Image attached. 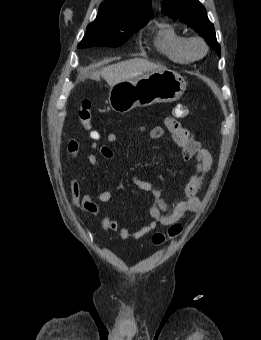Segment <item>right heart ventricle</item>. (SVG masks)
I'll list each match as a JSON object with an SVG mask.
<instances>
[{
  "label": "right heart ventricle",
  "mask_w": 261,
  "mask_h": 340,
  "mask_svg": "<svg viewBox=\"0 0 261 340\" xmlns=\"http://www.w3.org/2000/svg\"><path fill=\"white\" fill-rule=\"evenodd\" d=\"M188 37L172 24H162L155 36L157 50L173 62L187 64L193 59L187 48Z\"/></svg>",
  "instance_id": "obj_1"
}]
</instances>
